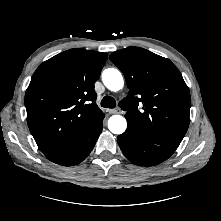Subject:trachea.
<instances>
[{
	"instance_id": "3493384b",
	"label": "trachea",
	"mask_w": 221,
	"mask_h": 221,
	"mask_svg": "<svg viewBox=\"0 0 221 221\" xmlns=\"http://www.w3.org/2000/svg\"><path fill=\"white\" fill-rule=\"evenodd\" d=\"M101 106L104 108H114L116 106V101L113 97L105 96L101 100Z\"/></svg>"
}]
</instances>
